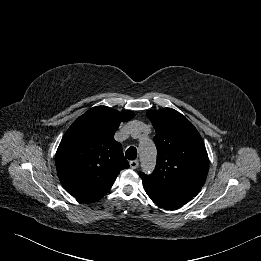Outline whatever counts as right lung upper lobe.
I'll return each mask as SVG.
<instances>
[{"label": "right lung upper lobe", "instance_id": "right-lung-upper-lobe-1", "mask_svg": "<svg viewBox=\"0 0 261 261\" xmlns=\"http://www.w3.org/2000/svg\"><path fill=\"white\" fill-rule=\"evenodd\" d=\"M129 110L107 106L89 109L64 134L56 152L57 174L63 187L82 202L100 200L129 163L114 133L121 122L132 119Z\"/></svg>", "mask_w": 261, "mask_h": 261}]
</instances>
